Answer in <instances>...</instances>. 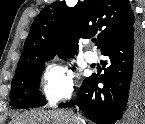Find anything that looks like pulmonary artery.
Returning a JSON list of instances; mask_svg holds the SVG:
<instances>
[{
  "instance_id": "1",
  "label": "pulmonary artery",
  "mask_w": 145,
  "mask_h": 124,
  "mask_svg": "<svg viewBox=\"0 0 145 124\" xmlns=\"http://www.w3.org/2000/svg\"><path fill=\"white\" fill-rule=\"evenodd\" d=\"M84 58L88 63H95L97 61V55L92 51H87L84 54Z\"/></svg>"
}]
</instances>
